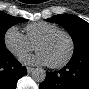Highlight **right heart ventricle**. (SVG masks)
<instances>
[{
	"instance_id": "right-heart-ventricle-1",
	"label": "right heart ventricle",
	"mask_w": 89,
	"mask_h": 89,
	"mask_svg": "<svg viewBox=\"0 0 89 89\" xmlns=\"http://www.w3.org/2000/svg\"><path fill=\"white\" fill-rule=\"evenodd\" d=\"M60 28L53 23L48 22H36L31 23L25 27V33L28 40L35 45L37 41L46 35L55 30H59Z\"/></svg>"
}]
</instances>
